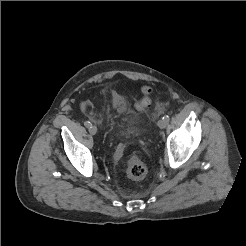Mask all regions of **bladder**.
Wrapping results in <instances>:
<instances>
[{"instance_id": "1", "label": "bladder", "mask_w": 246, "mask_h": 246, "mask_svg": "<svg viewBox=\"0 0 246 246\" xmlns=\"http://www.w3.org/2000/svg\"><path fill=\"white\" fill-rule=\"evenodd\" d=\"M121 114L122 109L118 106V104H113L111 120L114 127L119 128L123 133H128L129 129L126 128L125 125L121 122Z\"/></svg>"}]
</instances>
